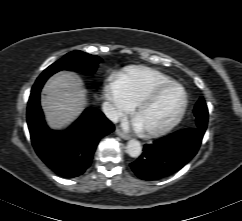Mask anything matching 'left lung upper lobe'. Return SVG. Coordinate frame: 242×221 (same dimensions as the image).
Wrapping results in <instances>:
<instances>
[{
    "mask_svg": "<svg viewBox=\"0 0 242 221\" xmlns=\"http://www.w3.org/2000/svg\"><path fill=\"white\" fill-rule=\"evenodd\" d=\"M194 114L196 117V127L206 128L208 121V109L203 98H200L199 101L196 103V106L194 108Z\"/></svg>",
    "mask_w": 242,
    "mask_h": 221,
    "instance_id": "1",
    "label": "left lung upper lobe"
}]
</instances>
